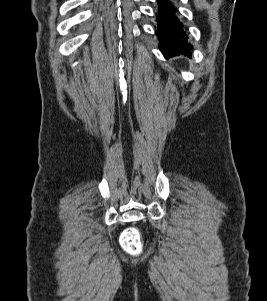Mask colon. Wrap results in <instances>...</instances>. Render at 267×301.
<instances>
[{"label": "colon", "instance_id": "colon-1", "mask_svg": "<svg viewBox=\"0 0 267 301\" xmlns=\"http://www.w3.org/2000/svg\"><path fill=\"white\" fill-rule=\"evenodd\" d=\"M121 245L130 254L139 253L142 248L139 232L133 228L126 230L121 237Z\"/></svg>", "mask_w": 267, "mask_h": 301}]
</instances>
